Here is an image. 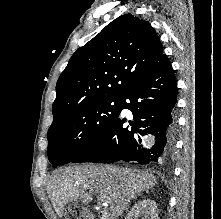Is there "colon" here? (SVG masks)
<instances>
[{"label": "colon", "mask_w": 221, "mask_h": 219, "mask_svg": "<svg viewBox=\"0 0 221 219\" xmlns=\"http://www.w3.org/2000/svg\"><path fill=\"white\" fill-rule=\"evenodd\" d=\"M66 219H94V216L84 208L71 206L66 211Z\"/></svg>", "instance_id": "1"}]
</instances>
